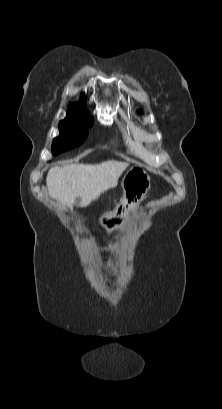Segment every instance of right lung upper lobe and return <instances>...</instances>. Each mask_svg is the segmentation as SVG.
Returning a JSON list of instances; mask_svg holds the SVG:
<instances>
[{
	"instance_id": "cb5924a9",
	"label": "right lung upper lobe",
	"mask_w": 222,
	"mask_h": 409,
	"mask_svg": "<svg viewBox=\"0 0 222 409\" xmlns=\"http://www.w3.org/2000/svg\"><path fill=\"white\" fill-rule=\"evenodd\" d=\"M84 101V97L82 99ZM82 111H86L84 106L81 105H77V104H71L68 107V113H72V112H82Z\"/></svg>"
}]
</instances>
